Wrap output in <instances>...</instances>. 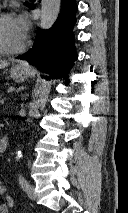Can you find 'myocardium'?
I'll list each match as a JSON object with an SVG mask.
<instances>
[{"instance_id":"obj_1","label":"myocardium","mask_w":128,"mask_h":213,"mask_svg":"<svg viewBox=\"0 0 128 213\" xmlns=\"http://www.w3.org/2000/svg\"><path fill=\"white\" fill-rule=\"evenodd\" d=\"M6 18H11V14L10 13H1L0 14V23ZM25 48H26V42H23L22 45L17 48H8L2 43V41L0 39V53H2V54H17V53L22 52Z\"/></svg>"}]
</instances>
